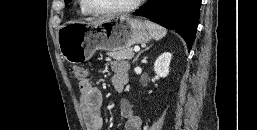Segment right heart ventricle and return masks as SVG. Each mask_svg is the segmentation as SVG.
Masks as SVG:
<instances>
[{
    "label": "right heart ventricle",
    "mask_w": 257,
    "mask_h": 130,
    "mask_svg": "<svg viewBox=\"0 0 257 130\" xmlns=\"http://www.w3.org/2000/svg\"><path fill=\"white\" fill-rule=\"evenodd\" d=\"M79 10L82 15H85V16L90 15V13L85 9L82 0H79Z\"/></svg>",
    "instance_id": "obj_1"
}]
</instances>
